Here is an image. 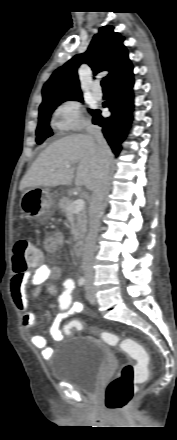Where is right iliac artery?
I'll use <instances>...</instances> for the list:
<instances>
[{"label": "right iliac artery", "instance_id": "82829eb1", "mask_svg": "<svg viewBox=\"0 0 177 440\" xmlns=\"http://www.w3.org/2000/svg\"><path fill=\"white\" fill-rule=\"evenodd\" d=\"M85 284V279L83 278V277H81L79 280H78V285L79 286H83Z\"/></svg>", "mask_w": 177, "mask_h": 440}]
</instances>
